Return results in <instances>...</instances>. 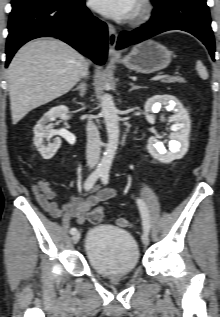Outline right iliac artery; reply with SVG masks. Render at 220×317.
Segmentation results:
<instances>
[{
  "label": "right iliac artery",
  "instance_id": "82829eb1",
  "mask_svg": "<svg viewBox=\"0 0 220 317\" xmlns=\"http://www.w3.org/2000/svg\"><path fill=\"white\" fill-rule=\"evenodd\" d=\"M102 171L100 170H96L94 171L85 181L84 183V189L86 191L90 190L93 185L95 184V182L98 180L99 177H101ZM77 232L76 228H71L70 229V233L73 235Z\"/></svg>",
  "mask_w": 220,
  "mask_h": 317
}]
</instances>
